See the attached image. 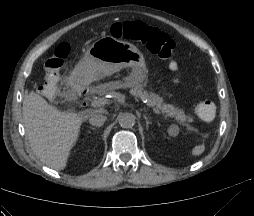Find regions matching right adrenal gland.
Instances as JSON below:
<instances>
[{"label": "right adrenal gland", "instance_id": "2a0ac1e0", "mask_svg": "<svg viewBox=\"0 0 254 216\" xmlns=\"http://www.w3.org/2000/svg\"><path fill=\"white\" fill-rule=\"evenodd\" d=\"M90 129L95 130V128H94V127H90Z\"/></svg>", "mask_w": 254, "mask_h": 216}]
</instances>
